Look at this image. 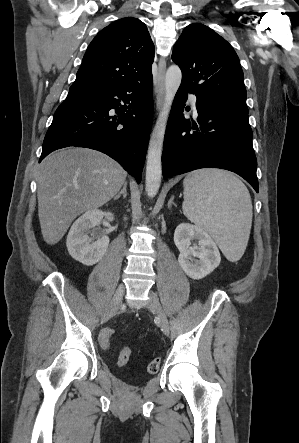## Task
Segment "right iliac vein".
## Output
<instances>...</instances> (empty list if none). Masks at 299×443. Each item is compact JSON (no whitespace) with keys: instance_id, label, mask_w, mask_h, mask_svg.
Listing matches in <instances>:
<instances>
[{"instance_id":"obj_1","label":"right iliac vein","mask_w":299,"mask_h":443,"mask_svg":"<svg viewBox=\"0 0 299 443\" xmlns=\"http://www.w3.org/2000/svg\"><path fill=\"white\" fill-rule=\"evenodd\" d=\"M124 292H125V287L123 284H120L118 286V288L116 289L115 294H114L109 306L107 307V309L105 310V312L102 315V318H101L102 322L108 321L112 317V315L119 309V307L122 303Z\"/></svg>"}]
</instances>
